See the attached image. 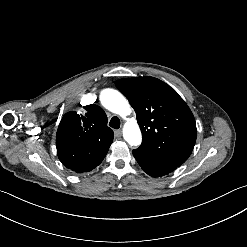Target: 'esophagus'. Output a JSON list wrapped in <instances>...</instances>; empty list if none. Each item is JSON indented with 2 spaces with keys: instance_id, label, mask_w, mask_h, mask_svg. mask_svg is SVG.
<instances>
[{
  "instance_id": "34e87169",
  "label": "esophagus",
  "mask_w": 247,
  "mask_h": 247,
  "mask_svg": "<svg viewBox=\"0 0 247 247\" xmlns=\"http://www.w3.org/2000/svg\"><path fill=\"white\" fill-rule=\"evenodd\" d=\"M121 135H122L121 130H115V131H114V136H115V138H120Z\"/></svg>"
}]
</instances>
